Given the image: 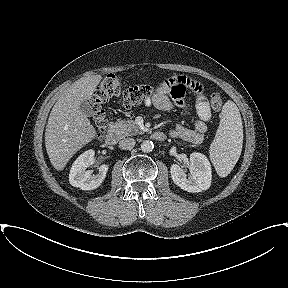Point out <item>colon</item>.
I'll use <instances>...</instances> for the list:
<instances>
[{
    "mask_svg": "<svg viewBox=\"0 0 288 288\" xmlns=\"http://www.w3.org/2000/svg\"><path fill=\"white\" fill-rule=\"evenodd\" d=\"M153 87L150 85H135L126 87L125 83L116 75H107L96 88L93 95V111L98 135L101 136L108 123L104 105L111 98H116L125 107L142 104L151 99ZM223 99L219 93H213L209 105L213 110H219Z\"/></svg>",
    "mask_w": 288,
    "mask_h": 288,
    "instance_id": "colon-1",
    "label": "colon"
}]
</instances>
